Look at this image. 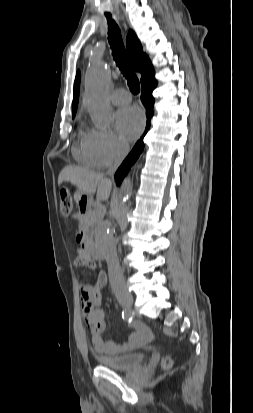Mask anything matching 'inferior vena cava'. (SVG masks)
Instances as JSON below:
<instances>
[{
  "label": "inferior vena cava",
  "mask_w": 253,
  "mask_h": 413,
  "mask_svg": "<svg viewBox=\"0 0 253 413\" xmlns=\"http://www.w3.org/2000/svg\"><path fill=\"white\" fill-rule=\"evenodd\" d=\"M128 153V146L122 147L116 154L114 164L111 166L107 174L113 176L125 156ZM96 240L101 250L106 256L108 265V274L111 288L114 292L126 291V285L123 277L122 270L119 265L116 252V240L113 237L112 223L107 221L100 228L97 233Z\"/></svg>",
  "instance_id": "obj_1"
}]
</instances>
